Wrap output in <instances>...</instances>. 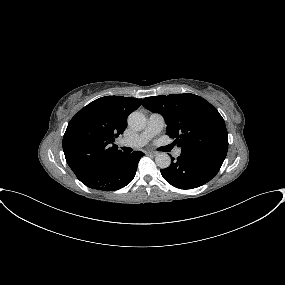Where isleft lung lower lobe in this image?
Returning <instances> with one entry per match:
<instances>
[{
	"instance_id": "left-lung-lower-lobe-1",
	"label": "left lung lower lobe",
	"mask_w": 285,
	"mask_h": 285,
	"mask_svg": "<svg viewBox=\"0 0 285 285\" xmlns=\"http://www.w3.org/2000/svg\"><path fill=\"white\" fill-rule=\"evenodd\" d=\"M223 161L212 156L181 153L176 160L172 158L168 168L160 171L163 178L172 186L193 189L214 178Z\"/></svg>"
}]
</instances>
